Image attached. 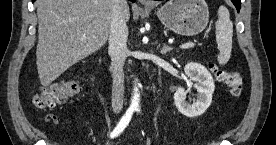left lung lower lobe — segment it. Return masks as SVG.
Masks as SVG:
<instances>
[{"label":"left lung lower lobe","mask_w":276,"mask_h":145,"mask_svg":"<svg viewBox=\"0 0 276 145\" xmlns=\"http://www.w3.org/2000/svg\"><path fill=\"white\" fill-rule=\"evenodd\" d=\"M233 2V4L235 5L237 11H240V7H241V0H231Z\"/></svg>","instance_id":"left-lung-lower-lobe-1"}]
</instances>
